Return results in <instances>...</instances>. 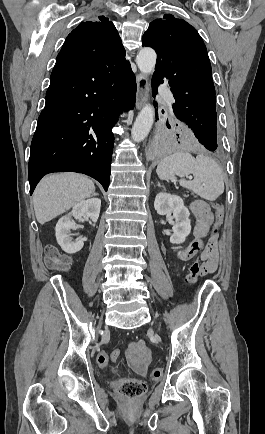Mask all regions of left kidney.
Instances as JSON below:
<instances>
[{"mask_svg":"<svg viewBox=\"0 0 265 434\" xmlns=\"http://www.w3.org/2000/svg\"><path fill=\"white\" fill-rule=\"evenodd\" d=\"M154 208L159 216L173 214L175 224L172 228L173 234L170 242L171 244H183L191 232V220H189L190 212L188 208H185L182 198L161 192L155 198Z\"/></svg>","mask_w":265,"mask_h":434,"instance_id":"5707ae66","label":"left kidney"}]
</instances>
